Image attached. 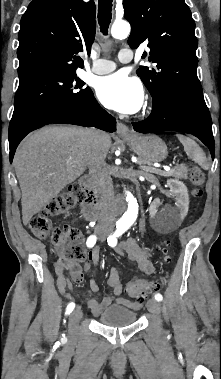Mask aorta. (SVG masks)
<instances>
[{"label": "aorta", "mask_w": 221, "mask_h": 379, "mask_svg": "<svg viewBox=\"0 0 221 379\" xmlns=\"http://www.w3.org/2000/svg\"><path fill=\"white\" fill-rule=\"evenodd\" d=\"M131 28L129 23L127 22H116L112 25L111 28V34L116 39L125 38L130 34ZM126 201L128 202V208L127 211L123 214V216L120 219V225L122 227H129L131 226L138 215V203L137 200L134 198V196L129 192L126 191Z\"/></svg>", "instance_id": "1"}]
</instances>
